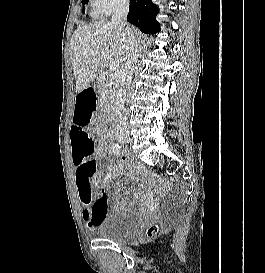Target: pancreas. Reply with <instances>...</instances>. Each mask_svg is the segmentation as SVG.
Masks as SVG:
<instances>
[{
	"instance_id": "obj_1",
	"label": "pancreas",
	"mask_w": 265,
	"mask_h": 273,
	"mask_svg": "<svg viewBox=\"0 0 265 273\" xmlns=\"http://www.w3.org/2000/svg\"><path fill=\"white\" fill-rule=\"evenodd\" d=\"M120 76L118 73L108 74L102 72L98 78V89L101 93L102 99H108L110 103H113L114 93L119 83ZM104 94V97H103Z\"/></svg>"
}]
</instances>
